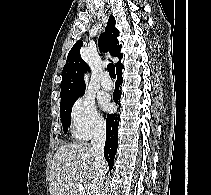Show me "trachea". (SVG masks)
<instances>
[{
    "instance_id": "1",
    "label": "trachea",
    "mask_w": 211,
    "mask_h": 195,
    "mask_svg": "<svg viewBox=\"0 0 211 195\" xmlns=\"http://www.w3.org/2000/svg\"><path fill=\"white\" fill-rule=\"evenodd\" d=\"M107 69H108V72H109V75L112 77V78H116V74H115V66L113 63H109L107 65Z\"/></svg>"
}]
</instances>
